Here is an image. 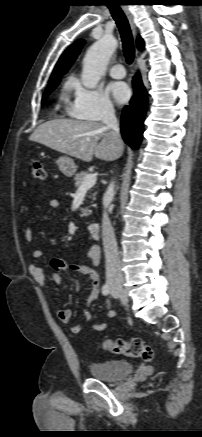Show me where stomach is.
<instances>
[{
  "mask_svg": "<svg viewBox=\"0 0 202 437\" xmlns=\"http://www.w3.org/2000/svg\"><path fill=\"white\" fill-rule=\"evenodd\" d=\"M56 164L66 177H72L77 171V166L70 157L62 156L56 161Z\"/></svg>",
  "mask_w": 202,
  "mask_h": 437,
  "instance_id": "0dacf381",
  "label": "stomach"
}]
</instances>
